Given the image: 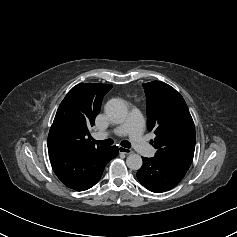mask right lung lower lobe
<instances>
[{"label":"right lung lower lobe","instance_id":"98d812e1","mask_svg":"<svg viewBox=\"0 0 237 237\" xmlns=\"http://www.w3.org/2000/svg\"><path fill=\"white\" fill-rule=\"evenodd\" d=\"M52 168L67 187L84 191L94 186L106 164L118 154V147L102 148L88 154L75 155L62 149L48 148Z\"/></svg>","mask_w":237,"mask_h":237}]
</instances>
